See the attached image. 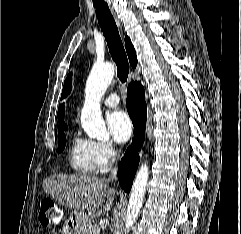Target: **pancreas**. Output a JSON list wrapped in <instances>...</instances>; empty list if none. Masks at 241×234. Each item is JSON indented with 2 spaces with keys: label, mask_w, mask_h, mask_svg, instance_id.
Returning <instances> with one entry per match:
<instances>
[{
  "label": "pancreas",
  "mask_w": 241,
  "mask_h": 234,
  "mask_svg": "<svg viewBox=\"0 0 241 234\" xmlns=\"http://www.w3.org/2000/svg\"><path fill=\"white\" fill-rule=\"evenodd\" d=\"M96 225H90L84 229V233L82 234H99V229H95Z\"/></svg>",
  "instance_id": "pancreas-1"
}]
</instances>
